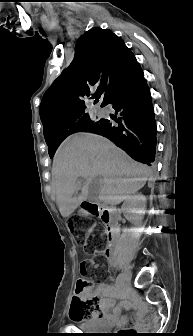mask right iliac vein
<instances>
[{
    "instance_id": "1",
    "label": "right iliac vein",
    "mask_w": 193,
    "mask_h": 336,
    "mask_svg": "<svg viewBox=\"0 0 193 336\" xmlns=\"http://www.w3.org/2000/svg\"><path fill=\"white\" fill-rule=\"evenodd\" d=\"M121 274H122L121 284L128 283L131 280L132 274H131V270L129 267H126Z\"/></svg>"
}]
</instances>
